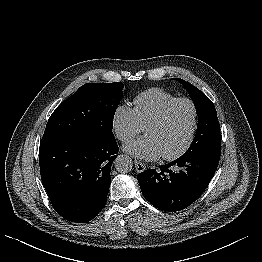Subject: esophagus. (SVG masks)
<instances>
[{"label":"esophagus","mask_w":262,"mask_h":262,"mask_svg":"<svg viewBox=\"0 0 262 262\" xmlns=\"http://www.w3.org/2000/svg\"><path fill=\"white\" fill-rule=\"evenodd\" d=\"M135 168L137 172H143L146 169V166L140 161L135 160Z\"/></svg>","instance_id":"obj_1"}]
</instances>
